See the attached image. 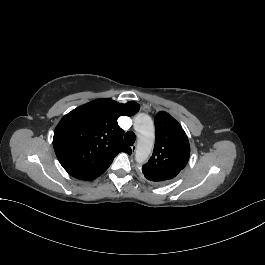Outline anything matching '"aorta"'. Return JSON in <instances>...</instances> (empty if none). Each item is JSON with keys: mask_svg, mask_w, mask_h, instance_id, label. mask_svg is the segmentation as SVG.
<instances>
[{"mask_svg": "<svg viewBox=\"0 0 265 265\" xmlns=\"http://www.w3.org/2000/svg\"><path fill=\"white\" fill-rule=\"evenodd\" d=\"M138 124L140 135L135 157L138 163H143L148 159L153 149L154 126L151 118L144 114L139 115Z\"/></svg>", "mask_w": 265, "mask_h": 265, "instance_id": "762f6f07", "label": "aorta"}]
</instances>
